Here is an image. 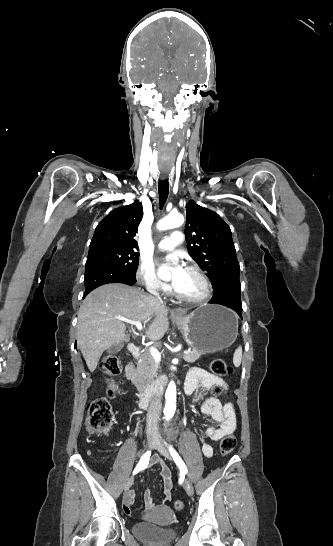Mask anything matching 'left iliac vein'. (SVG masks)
<instances>
[{"label": "left iliac vein", "mask_w": 333, "mask_h": 546, "mask_svg": "<svg viewBox=\"0 0 333 546\" xmlns=\"http://www.w3.org/2000/svg\"><path fill=\"white\" fill-rule=\"evenodd\" d=\"M155 449L158 450L165 458L167 459H171L170 455H169V452H168V449H167V444L166 442L163 440V438L160 436V435H157L156 436V442H155V445H154ZM184 489L186 490L187 494L189 496H192L193 493H194V489H193V486L191 484V482L189 480H185L184 481Z\"/></svg>", "instance_id": "4c4485c4"}]
</instances>
